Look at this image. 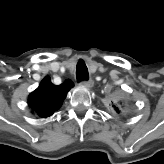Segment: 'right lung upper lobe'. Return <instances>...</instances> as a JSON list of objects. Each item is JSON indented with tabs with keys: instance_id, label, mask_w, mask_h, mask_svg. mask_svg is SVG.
<instances>
[{
	"instance_id": "obj_1",
	"label": "right lung upper lobe",
	"mask_w": 164,
	"mask_h": 164,
	"mask_svg": "<svg viewBox=\"0 0 164 164\" xmlns=\"http://www.w3.org/2000/svg\"><path fill=\"white\" fill-rule=\"evenodd\" d=\"M73 87V83L66 80L56 86L51 83L49 77H45L39 87L29 95L28 104L41 117H48L60 108L67 92Z\"/></svg>"
}]
</instances>
